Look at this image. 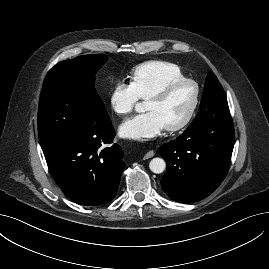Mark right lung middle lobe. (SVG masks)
<instances>
[{"mask_svg":"<svg viewBox=\"0 0 269 269\" xmlns=\"http://www.w3.org/2000/svg\"><path fill=\"white\" fill-rule=\"evenodd\" d=\"M107 59L101 54L79 56L59 62L48 72L38 110L41 147L111 123L94 87L97 70Z\"/></svg>","mask_w":269,"mask_h":269,"instance_id":"right-lung-middle-lobe-1","label":"right lung middle lobe"}]
</instances>
